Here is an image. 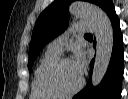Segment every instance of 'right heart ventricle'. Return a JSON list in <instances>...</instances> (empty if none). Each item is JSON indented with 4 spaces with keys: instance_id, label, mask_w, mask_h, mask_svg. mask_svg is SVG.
<instances>
[{
    "instance_id": "1",
    "label": "right heart ventricle",
    "mask_w": 128,
    "mask_h": 99,
    "mask_svg": "<svg viewBox=\"0 0 128 99\" xmlns=\"http://www.w3.org/2000/svg\"><path fill=\"white\" fill-rule=\"evenodd\" d=\"M60 54L51 52L47 50L41 59L39 60L34 73H33V78H32V83H31V92H30V97L32 99H55L57 98L56 96L46 92L41 88L40 85V75L44 68L51 64L53 61L58 59Z\"/></svg>"
}]
</instances>
